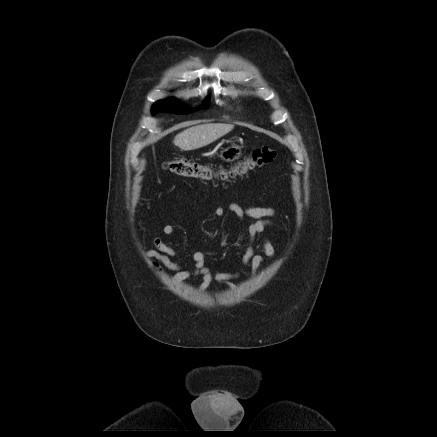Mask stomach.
I'll list each match as a JSON object with an SVG mask.
<instances>
[{
	"instance_id": "0dacf381",
	"label": "stomach",
	"mask_w": 437,
	"mask_h": 437,
	"mask_svg": "<svg viewBox=\"0 0 437 437\" xmlns=\"http://www.w3.org/2000/svg\"><path fill=\"white\" fill-rule=\"evenodd\" d=\"M242 153L241 147L233 145L221 151L220 158L226 162H232L240 158Z\"/></svg>"
}]
</instances>
